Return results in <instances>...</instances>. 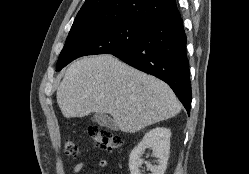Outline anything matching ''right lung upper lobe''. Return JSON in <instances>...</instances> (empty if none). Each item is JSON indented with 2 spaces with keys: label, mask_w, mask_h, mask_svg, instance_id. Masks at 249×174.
<instances>
[{
  "label": "right lung upper lobe",
  "mask_w": 249,
  "mask_h": 174,
  "mask_svg": "<svg viewBox=\"0 0 249 174\" xmlns=\"http://www.w3.org/2000/svg\"><path fill=\"white\" fill-rule=\"evenodd\" d=\"M177 13L175 0H86L70 32L122 20L147 22Z\"/></svg>",
  "instance_id": "obj_1"
}]
</instances>
